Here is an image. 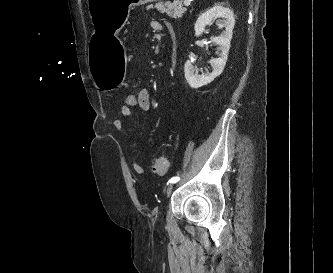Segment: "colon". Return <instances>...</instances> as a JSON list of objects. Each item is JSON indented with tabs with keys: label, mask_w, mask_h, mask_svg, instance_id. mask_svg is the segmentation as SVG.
I'll list each match as a JSON object with an SVG mask.
<instances>
[{
	"label": "colon",
	"mask_w": 333,
	"mask_h": 273,
	"mask_svg": "<svg viewBox=\"0 0 333 273\" xmlns=\"http://www.w3.org/2000/svg\"><path fill=\"white\" fill-rule=\"evenodd\" d=\"M138 105V93H129L124 97V106L132 109ZM169 169V160L166 157H159L155 159L152 165L153 173L157 175H164Z\"/></svg>",
	"instance_id": "5ec220e1"
}]
</instances>
